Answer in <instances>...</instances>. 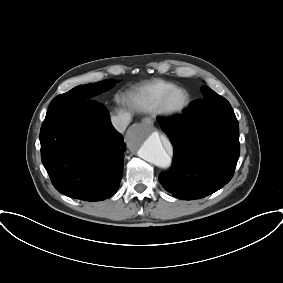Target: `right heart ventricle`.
Here are the masks:
<instances>
[{
  "label": "right heart ventricle",
  "mask_w": 283,
  "mask_h": 283,
  "mask_svg": "<svg viewBox=\"0 0 283 283\" xmlns=\"http://www.w3.org/2000/svg\"><path fill=\"white\" fill-rule=\"evenodd\" d=\"M175 85L171 82L155 79L141 86L129 97L130 103L142 112L156 109L159 99Z\"/></svg>",
  "instance_id": "1"
}]
</instances>
